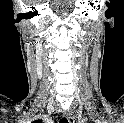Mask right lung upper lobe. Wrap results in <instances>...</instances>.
Here are the masks:
<instances>
[{
	"label": "right lung upper lobe",
	"mask_w": 124,
	"mask_h": 123,
	"mask_svg": "<svg viewBox=\"0 0 124 123\" xmlns=\"http://www.w3.org/2000/svg\"><path fill=\"white\" fill-rule=\"evenodd\" d=\"M33 123H42V121L41 120H36Z\"/></svg>",
	"instance_id": "obj_1"
}]
</instances>
